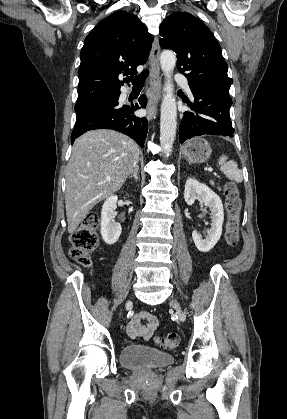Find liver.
Returning <instances> with one entry per match:
<instances>
[{
    "label": "liver",
    "instance_id": "6515ba94",
    "mask_svg": "<svg viewBox=\"0 0 287 419\" xmlns=\"http://www.w3.org/2000/svg\"><path fill=\"white\" fill-rule=\"evenodd\" d=\"M138 158L137 143L114 130H92L75 141L66 172L70 234L96 204L122 187Z\"/></svg>",
    "mask_w": 287,
    "mask_h": 419
}]
</instances>
